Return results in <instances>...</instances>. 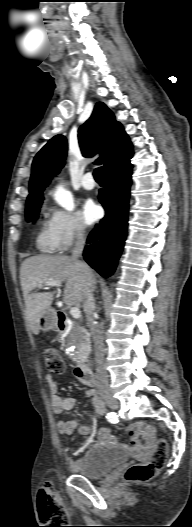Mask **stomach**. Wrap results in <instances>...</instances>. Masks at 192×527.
Here are the masks:
<instances>
[{"label":"stomach","instance_id":"0dacf381","mask_svg":"<svg viewBox=\"0 0 192 527\" xmlns=\"http://www.w3.org/2000/svg\"><path fill=\"white\" fill-rule=\"evenodd\" d=\"M40 329L50 331L57 329V316L54 309H47L40 317Z\"/></svg>","mask_w":192,"mask_h":527}]
</instances>
